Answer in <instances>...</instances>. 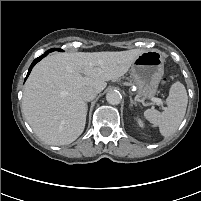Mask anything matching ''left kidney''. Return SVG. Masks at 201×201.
<instances>
[{"mask_svg":"<svg viewBox=\"0 0 201 201\" xmlns=\"http://www.w3.org/2000/svg\"><path fill=\"white\" fill-rule=\"evenodd\" d=\"M137 122H138V124H139L140 127H144V124H143V122L140 119H137Z\"/></svg>","mask_w":201,"mask_h":201,"instance_id":"5707ae66","label":"left kidney"}]
</instances>
